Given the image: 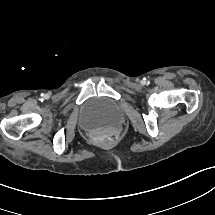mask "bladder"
Listing matches in <instances>:
<instances>
[{"instance_id":"1","label":"bladder","mask_w":215,"mask_h":215,"mask_svg":"<svg viewBox=\"0 0 215 215\" xmlns=\"http://www.w3.org/2000/svg\"><path fill=\"white\" fill-rule=\"evenodd\" d=\"M123 116V110L116 100L94 97L82 105L78 125L89 132L111 131L120 126Z\"/></svg>"}]
</instances>
